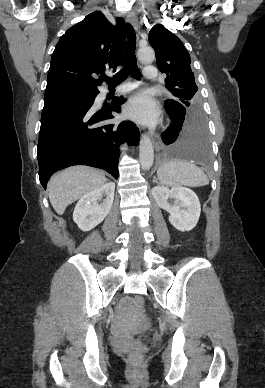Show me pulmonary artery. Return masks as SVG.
Segmentation results:
<instances>
[{
	"instance_id": "pulmonary-artery-1",
	"label": "pulmonary artery",
	"mask_w": 265,
	"mask_h": 388,
	"mask_svg": "<svg viewBox=\"0 0 265 388\" xmlns=\"http://www.w3.org/2000/svg\"><path fill=\"white\" fill-rule=\"evenodd\" d=\"M146 69H147V71L146 72H144V74H143V77H144V79H153V76H156V69H157V66H156V64H147V66H146ZM125 80L126 81H129L130 80V77L129 76H126L125 77ZM117 88H123L124 86L122 85H117L116 86ZM129 89V87H125L124 89H122V91L121 92H124V91H126V90H128ZM132 92L134 91L133 89L131 90Z\"/></svg>"
}]
</instances>
